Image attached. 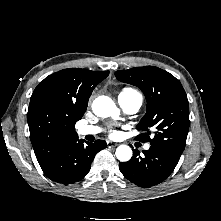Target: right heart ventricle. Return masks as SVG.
Returning <instances> with one entry per match:
<instances>
[{
  "label": "right heart ventricle",
  "instance_id": "1",
  "mask_svg": "<svg viewBox=\"0 0 221 221\" xmlns=\"http://www.w3.org/2000/svg\"><path fill=\"white\" fill-rule=\"evenodd\" d=\"M121 93L129 94V95H134L138 94L134 89L132 88H125ZM139 95V94H138Z\"/></svg>",
  "mask_w": 221,
  "mask_h": 221
}]
</instances>
